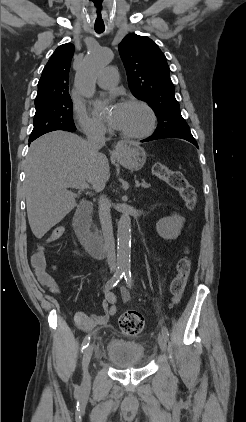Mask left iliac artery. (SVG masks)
<instances>
[{
  "instance_id": "left-iliac-artery-1",
  "label": "left iliac artery",
  "mask_w": 246,
  "mask_h": 422,
  "mask_svg": "<svg viewBox=\"0 0 246 422\" xmlns=\"http://www.w3.org/2000/svg\"><path fill=\"white\" fill-rule=\"evenodd\" d=\"M124 278H125V280H126V284H127V286H128L129 288H132L133 282H132V274H131L130 269H125V270H124ZM162 334H163L166 338H168V336H169L168 329H167L165 326L162 328Z\"/></svg>"
}]
</instances>
